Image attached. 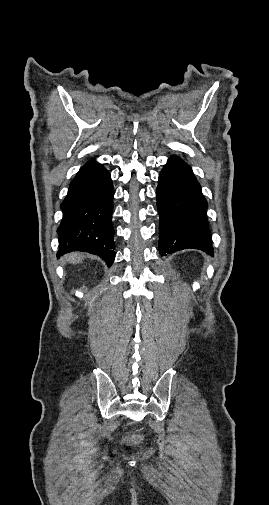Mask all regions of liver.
I'll list each match as a JSON object with an SVG mask.
<instances>
[{
    "instance_id": "obj_1",
    "label": "liver",
    "mask_w": 269,
    "mask_h": 505,
    "mask_svg": "<svg viewBox=\"0 0 269 505\" xmlns=\"http://www.w3.org/2000/svg\"><path fill=\"white\" fill-rule=\"evenodd\" d=\"M83 256L81 254H77V253H73V254H69V255H66L65 259L70 262V263H73V264H76V263H79L83 260Z\"/></svg>"
}]
</instances>
